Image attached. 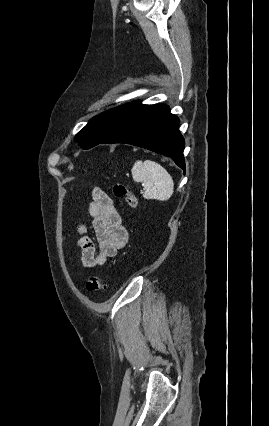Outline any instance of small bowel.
Listing matches in <instances>:
<instances>
[{
  "mask_svg": "<svg viewBox=\"0 0 269 426\" xmlns=\"http://www.w3.org/2000/svg\"><path fill=\"white\" fill-rule=\"evenodd\" d=\"M89 214L98 242V251H96L93 240L86 235L85 226L78 224L76 232L79 239L76 247L80 251V265L84 269L104 265L108 259L116 256L128 241L127 230L121 215L114 207L112 199L98 188L92 191Z\"/></svg>",
  "mask_w": 269,
  "mask_h": 426,
  "instance_id": "c3829d8e",
  "label": "small bowel"
}]
</instances>
